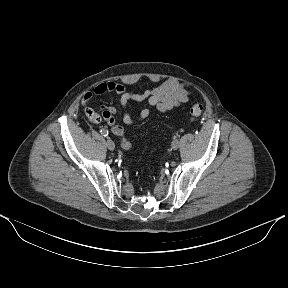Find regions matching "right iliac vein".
<instances>
[{
	"instance_id": "obj_1",
	"label": "right iliac vein",
	"mask_w": 288,
	"mask_h": 288,
	"mask_svg": "<svg viewBox=\"0 0 288 288\" xmlns=\"http://www.w3.org/2000/svg\"><path fill=\"white\" fill-rule=\"evenodd\" d=\"M106 146L111 151H113L115 149V143L109 138L106 141Z\"/></svg>"
}]
</instances>
